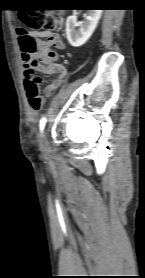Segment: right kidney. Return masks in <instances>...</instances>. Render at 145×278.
I'll list each match as a JSON object with an SVG mask.
<instances>
[{
  "mask_svg": "<svg viewBox=\"0 0 145 278\" xmlns=\"http://www.w3.org/2000/svg\"><path fill=\"white\" fill-rule=\"evenodd\" d=\"M101 14L102 10H87L82 22H77L75 16L67 18L66 35L71 46L80 47L87 42L96 29Z\"/></svg>",
  "mask_w": 145,
  "mask_h": 278,
  "instance_id": "1",
  "label": "right kidney"
}]
</instances>
